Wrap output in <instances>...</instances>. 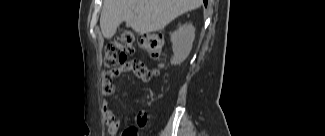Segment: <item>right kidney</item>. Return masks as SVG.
I'll list each match as a JSON object with an SVG mask.
<instances>
[{
	"instance_id": "right-kidney-1",
	"label": "right kidney",
	"mask_w": 325,
	"mask_h": 136,
	"mask_svg": "<svg viewBox=\"0 0 325 136\" xmlns=\"http://www.w3.org/2000/svg\"><path fill=\"white\" fill-rule=\"evenodd\" d=\"M195 38V28L192 25H183L171 34L173 57L171 64L178 65L189 55Z\"/></svg>"
}]
</instances>
